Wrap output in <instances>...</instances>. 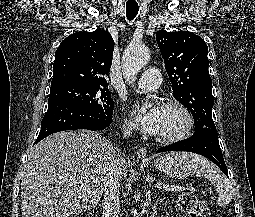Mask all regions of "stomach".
Wrapping results in <instances>:
<instances>
[{
    "label": "stomach",
    "instance_id": "0dacf381",
    "mask_svg": "<svg viewBox=\"0 0 255 217\" xmlns=\"http://www.w3.org/2000/svg\"><path fill=\"white\" fill-rule=\"evenodd\" d=\"M154 165L159 171L175 179H183L193 170L192 165L186 159L174 152L159 156L154 161Z\"/></svg>",
    "mask_w": 255,
    "mask_h": 217
}]
</instances>
